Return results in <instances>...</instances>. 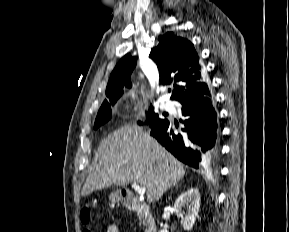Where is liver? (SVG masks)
<instances>
[{
  "instance_id": "6515ba94",
  "label": "liver",
  "mask_w": 289,
  "mask_h": 232,
  "mask_svg": "<svg viewBox=\"0 0 289 232\" xmlns=\"http://www.w3.org/2000/svg\"><path fill=\"white\" fill-rule=\"evenodd\" d=\"M95 160L82 196L112 185L125 187L137 183L146 188L147 201L153 203L185 175L184 165L149 133L129 126L103 139Z\"/></svg>"
}]
</instances>
